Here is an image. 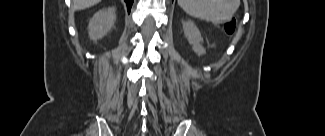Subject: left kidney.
I'll return each instance as SVG.
<instances>
[{"label": "left kidney", "instance_id": "5707ae66", "mask_svg": "<svg viewBox=\"0 0 325 136\" xmlns=\"http://www.w3.org/2000/svg\"><path fill=\"white\" fill-rule=\"evenodd\" d=\"M184 34L189 42L192 45L194 52L197 55H203L205 49L202 46L201 42L203 38L198 30V28L190 21L182 22Z\"/></svg>", "mask_w": 325, "mask_h": 136}]
</instances>
